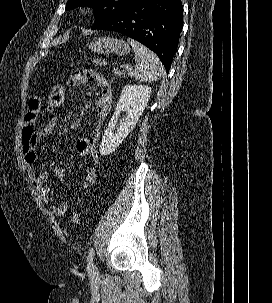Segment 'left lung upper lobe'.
Returning <instances> with one entry per match:
<instances>
[{"mask_svg": "<svg viewBox=\"0 0 272 303\" xmlns=\"http://www.w3.org/2000/svg\"><path fill=\"white\" fill-rule=\"evenodd\" d=\"M138 0H68L66 9L70 10L79 6H90L94 10L96 29L106 21L123 12Z\"/></svg>", "mask_w": 272, "mask_h": 303, "instance_id": "obj_1", "label": "left lung upper lobe"}]
</instances>
